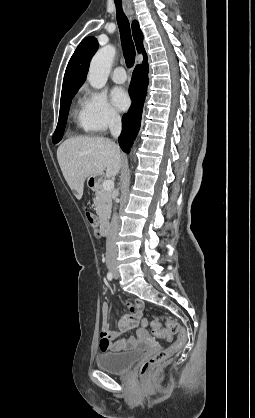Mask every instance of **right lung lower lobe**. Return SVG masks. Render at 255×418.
<instances>
[{
    "label": "right lung lower lobe",
    "instance_id": "98d812e1",
    "mask_svg": "<svg viewBox=\"0 0 255 418\" xmlns=\"http://www.w3.org/2000/svg\"><path fill=\"white\" fill-rule=\"evenodd\" d=\"M148 86L147 62L137 65L132 74L129 93L132 99V106L128 113L122 118V133L118 141L122 150L130 151L133 140L140 128L143 104Z\"/></svg>",
    "mask_w": 255,
    "mask_h": 418
}]
</instances>
